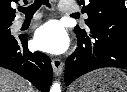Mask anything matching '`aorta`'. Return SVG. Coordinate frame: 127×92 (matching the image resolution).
Instances as JSON below:
<instances>
[{
    "label": "aorta",
    "mask_w": 127,
    "mask_h": 92,
    "mask_svg": "<svg viewBox=\"0 0 127 92\" xmlns=\"http://www.w3.org/2000/svg\"><path fill=\"white\" fill-rule=\"evenodd\" d=\"M50 92H61V87H60V84L58 82H55L51 89H50Z\"/></svg>",
    "instance_id": "762f6f07"
}]
</instances>
